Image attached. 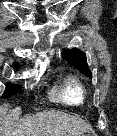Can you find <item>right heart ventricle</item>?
<instances>
[{
	"mask_svg": "<svg viewBox=\"0 0 117 136\" xmlns=\"http://www.w3.org/2000/svg\"><path fill=\"white\" fill-rule=\"evenodd\" d=\"M53 96L65 104L80 106L85 102L86 91L78 79L67 78L55 86Z\"/></svg>",
	"mask_w": 117,
	"mask_h": 136,
	"instance_id": "e07e8e85",
	"label": "right heart ventricle"
}]
</instances>
